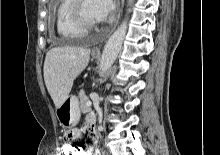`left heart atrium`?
<instances>
[{
    "label": "left heart atrium",
    "mask_w": 220,
    "mask_h": 155,
    "mask_svg": "<svg viewBox=\"0 0 220 155\" xmlns=\"http://www.w3.org/2000/svg\"><path fill=\"white\" fill-rule=\"evenodd\" d=\"M114 8V0H93V12L97 20L106 19Z\"/></svg>",
    "instance_id": "39dd6f15"
}]
</instances>
